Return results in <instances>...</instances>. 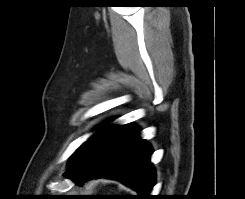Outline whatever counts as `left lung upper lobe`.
I'll return each mask as SVG.
<instances>
[{
	"label": "left lung upper lobe",
	"mask_w": 245,
	"mask_h": 199,
	"mask_svg": "<svg viewBox=\"0 0 245 199\" xmlns=\"http://www.w3.org/2000/svg\"><path fill=\"white\" fill-rule=\"evenodd\" d=\"M100 127H102V126H100ZM102 129V128H101ZM101 129H99L98 130V132L101 130ZM97 132V133H98ZM96 133V134H97ZM95 134V135H96ZM94 135V136H95ZM93 136V137H94ZM93 137H91L87 142H85V143H83L74 153H73V155H72V157L70 158V161H69V163H68V166H67V168L68 167H70L73 163H74V161L79 157V155L82 153V151L84 150V148H85V146L87 145V143L93 138Z\"/></svg>",
	"instance_id": "1"
}]
</instances>
